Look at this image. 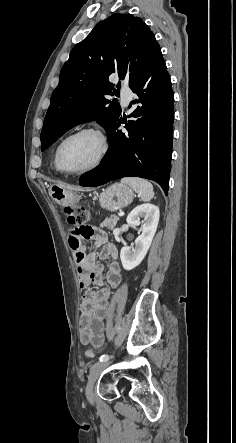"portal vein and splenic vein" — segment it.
Instances as JSON below:
<instances>
[{"label":"portal vein and splenic vein","instance_id":"obj_1","mask_svg":"<svg viewBox=\"0 0 236 443\" xmlns=\"http://www.w3.org/2000/svg\"><path fill=\"white\" fill-rule=\"evenodd\" d=\"M118 215H119V216H123V215H124V212H120Z\"/></svg>","mask_w":236,"mask_h":443}]
</instances>
